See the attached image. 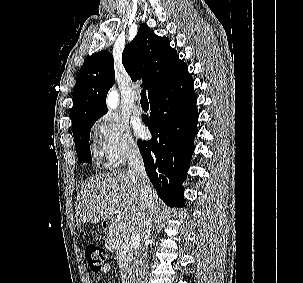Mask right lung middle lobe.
<instances>
[{"instance_id": "obj_1", "label": "right lung middle lobe", "mask_w": 303, "mask_h": 283, "mask_svg": "<svg viewBox=\"0 0 303 283\" xmlns=\"http://www.w3.org/2000/svg\"><path fill=\"white\" fill-rule=\"evenodd\" d=\"M96 120L87 121L75 129H73V135L75 139V147L80 163H91V153L89 147L90 129Z\"/></svg>"}]
</instances>
